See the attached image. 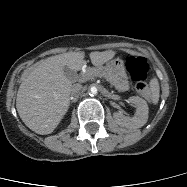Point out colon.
<instances>
[{
    "instance_id": "obj_1",
    "label": "colon",
    "mask_w": 187,
    "mask_h": 187,
    "mask_svg": "<svg viewBox=\"0 0 187 187\" xmlns=\"http://www.w3.org/2000/svg\"><path fill=\"white\" fill-rule=\"evenodd\" d=\"M126 68L135 82V89L138 94L148 101L153 100L150 87L146 82L148 65L146 60L140 56L128 55L126 57Z\"/></svg>"
}]
</instances>
